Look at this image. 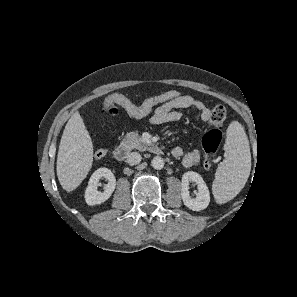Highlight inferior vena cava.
<instances>
[{
    "mask_svg": "<svg viewBox=\"0 0 297 297\" xmlns=\"http://www.w3.org/2000/svg\"><path fill=\"white\" fill-rule=\"evenodd\" d=\"M141 160H142V157L138 152H132L128 154L126 158V162L131 166L139 164Z\"/></svg>",
    "mask_w": 297,
    "mask_h": 297,
    "instance_id": "602c4592",
    "label": "inferior vena cava"
}]
</instances>
